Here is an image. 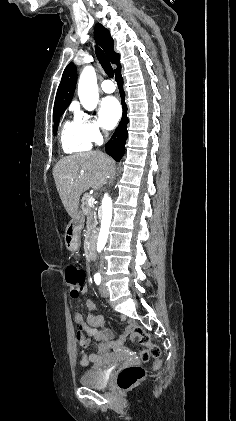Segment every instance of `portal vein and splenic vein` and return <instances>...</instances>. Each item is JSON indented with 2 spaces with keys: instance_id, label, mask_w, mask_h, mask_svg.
<instances>
[{
  "instance_id": "portal-vein-and-splenic-vein-1",
  "label": "portal vein and splenic vein",
  "mask_w": 236,
  "mask_h": 421,
  "mask_svg": "<svg viewBox=\"0 0 236 421\" xmlns=\"http://www.w3.org/2000/svg\"><path fill=\"white\" fill-rule=\"evenodd\" d=\"M70 180L72 182L73 178H70ZM88 202H89V206H93L94 200H92V198H89Z\"/></svg>"
}]
</instances>
